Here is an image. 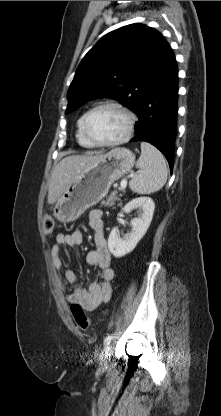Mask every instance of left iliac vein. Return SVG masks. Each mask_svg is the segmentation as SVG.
<instances>
[{
	"label": "left iliac vein",
	"instance_id": "left-iliac-vein-1",
	"mask_svg": "<svg viewBox=\"0 0 221 416\" xmlns=\"http://www.w3.org/2000/svg\"><path fill=\"white\" fill-rule=\"evenodd\" d=\"M110 350H111L110 346H105L104 354L102 355V358H101V365H103V363H105L106 355L110 352Z\"/></svg>",
	"mask_w": 221,
	"mask_h": 416
}]
</instances>
